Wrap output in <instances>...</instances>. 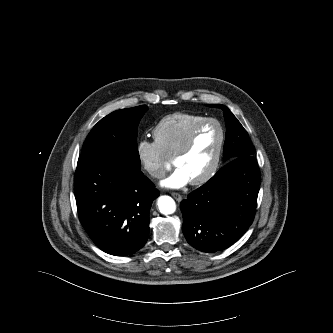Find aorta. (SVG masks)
Wrapping results in <instances>:
<instances>
[{
	"label": "aorta",
	"mask_w": 333,
	"mask_h": 333,
	"mask_svg": "<svg viewBox=\"0 0 333 333\" xmlns=\"http://www.w3.org/2000/svg\"><path fill=\"white\" fill-rule=\"evenodd\" d=\"M159 211L164 215L173 214L176 210V204L170 196H161L158 199Z\"/></svg>",
	"instance_id": "aorta-1"
}]
</instances>
